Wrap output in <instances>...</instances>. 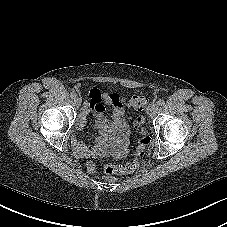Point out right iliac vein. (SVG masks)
Returning a JSON list of instances; mask_svg holds the SVG:
<instances>
[{
	"label": "right iliac vein",
	"instance_id": "obj_1",
	"mask_svg": "<svg viewBox=\"0 0 227 227\" xmlns=\"http://www.w3.org/2000/svg\"><path fill=\"white\" fill-rule=\"evenodd\" d=\"M74 104H75L76 107H80V105H81V99L79 97H76L74 99Z\"/></svg>",
	"mask_w": 227,
	"mask_h": 227
}]
</instances>
